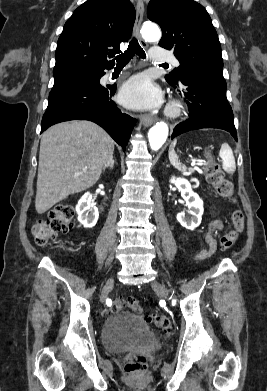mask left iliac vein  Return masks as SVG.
I'll list each match as a JSON object with an SVG mask.
<instances>
[{"instance_id":"1","label":"left iliac vein","mask_w":267,"mask_h":391,"mask_svg":"<svg viewBox=\"0 0 267 391\" xmlns=\"http://www.w3.org/2000/svg\"><path fill=\"white\" fill-rule=\"evenodd\" d=\"M151 285L164 298H168L169 297V291L167 290V288L162 283H160V282L155 280V281H153L151 283Z\"/></svg>"}]
</instances>
